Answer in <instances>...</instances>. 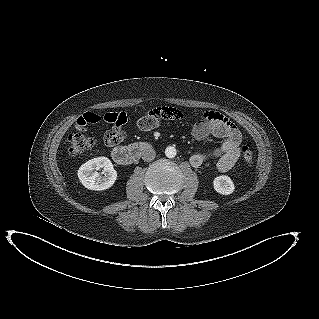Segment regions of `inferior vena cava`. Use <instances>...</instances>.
<instances>
[{"mask_svg":"<svg viewBox=\"0 0 319 319\" xmlns=\"http://www.w3.org/2000/svg\"><path fill=\"white\" fill-rule=\"evenodd\" d=\"M155 156H156V152L152 148L145 149L142 152V159L146 162H150V161L154 160Z\"/></svg>","mask_w":319,"mask_h":319,"instance_id":"1","label":"inferior vena cava"}]
</instances>
